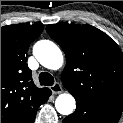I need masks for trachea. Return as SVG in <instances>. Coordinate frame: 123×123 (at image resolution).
I'll use <instances>...</instances> for the list:
<instances>
[{
  "instance_id": "obj_1",
  "label": "trachea",
  "mask_w": 123,
  "mask_h": 123,
  "mask_svg": "<svg viewBox=\"0 0 123 123\" xmlns=\"http://www.w3.org/2000/svg\"><path fill=\"white\" fill-rule=\"evenodd\" d=\"M39 81L41 85L51 86L54 83V78L48 72H42L39 74Z\"/></svg>"
}]
</instances>
